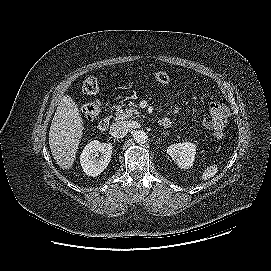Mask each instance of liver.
Returning a JSON list of instances; mask_svg holds the SVG:
<instances>
[{
  "mask_svg": "<svg viewBox=\"0 0 271 271\" xmlns=\"http://www.w3.org/2000/svg\"><path fill=\"white\" fill-rule=\"evenodd\" d=\"M83 130L84 123L78 106L69 95H64L49 131L50 150L61 168L69 170L74 165Z\"/></svg>",
  "mask_w": 271,
  "mask_h": 271,
  "instance_id": "1",
  "label": "liver"
}]
</instances>
